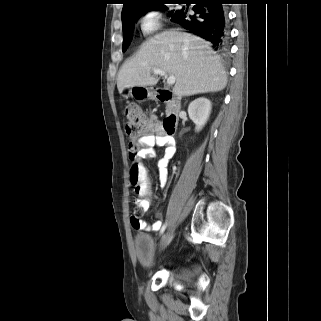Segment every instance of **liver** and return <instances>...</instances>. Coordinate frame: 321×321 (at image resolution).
I'll use <instances>...</instances> for the list:
<instances>
[{"mask_svg":"<svg viewBox=\"0 0 321 321\" xmlns=\"http://www.w3.org/2000/svg\"><path fill=\"white\" fill-rule=\"evenodd\" d=\"M161 69L176 79L173 92L177 96L217 92L225 88L226 72L221 59L204 39L168 30L148 39L134 58L121 68L117 88L153 86L157 78L151 75Z\"/></svg>","mask_w":321,"mask_h":321,"instance_id":"liver-1","label":"liver"}]
</instances>
